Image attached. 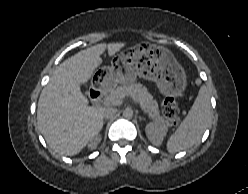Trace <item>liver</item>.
<instances>
[{
  "label": "liver",
  "instance_id": "1",
  "mask_svg": "<svg viewBox=\"0 0 248 194\" xmlns=\"http://www.w3.org/2000/svg\"><path fill=\"white\" fill-rule=\"evenodd\" d=\"M124 43L97 44L62 62L43 88L37 108V124L48 145L66 156L78 154L103 127L102 107L88 106L80 89L102 64L105 49L110 57Z\"/></svg>",
  "mask_w": 248,
  "mask_h": 194
}]
</instances>
